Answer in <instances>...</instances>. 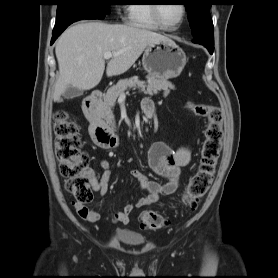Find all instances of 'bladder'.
Returning <instances> with one entry per match:
<instances>
[{
	"label": "bladder",
	"instance_id": "bladder-1",
	"mask_svg": "<svg viewBox=\"0 0 278 278\" xmlns=\"http://www.w3.org/2000/svg\"><path fill=\"white\" fill-rule=\"evenodd\" d=\"M115 238L122 244L128 246H137L144 243V237L125 230H118L115 232Z\"/></svg>",
	"mask_w": 278,
	"mask_h": 278
}]
</instances>
